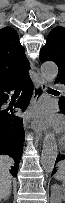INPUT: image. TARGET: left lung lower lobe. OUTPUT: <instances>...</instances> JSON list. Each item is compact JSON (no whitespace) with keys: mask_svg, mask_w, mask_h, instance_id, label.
Returning a JSON list of instances; mask_svg holds the SVG:
<instances>
[{"mask_svg":"<svg viewBox=\"0 0 65 203\" xmlns=\"http://www.w3.org/2000/svg\"><path fill=\"white\" fill-rule=\"evenodd\" d=\"M56 81H62V82H64L63 80H56ZM64 84H65V82H64ZM59 105H60V104H59ZM60 109H61L60 112L63 113V114H65V105H63V104L60 105ZM62 160L65 161V153L58 155V157L56 158V163L59 162V161H62ZM55 172H56V170L54 169L53 172H52V175H53Z\"/></svg>","mask_w":65,"mask_h":203,"instance_id":"left-lung-lower-lobe-1","label":"left lung lower lobe"}]
</instances>
